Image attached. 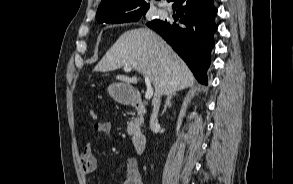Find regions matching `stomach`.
Instances as JSON below:
<instances>
[{"instance_id": "stomach-1", "label": "stomach", "mask_w": 293, "mask_h": 184, "mask_svg": "<svg viewBox=\"0 0 293 184\" xmlns=\"http://www.w3.org/2000/svg\"><path fill=\"white\" fill-rule=\"evenodd\" d=\"M108 94L121 104H130L138 97V91L128 83H113L107 88Z\"/></svg>"}]
</instances>
